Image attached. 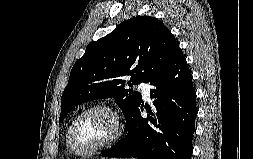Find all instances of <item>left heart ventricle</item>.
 Here are the masks:
<instances>
[{"instance_id":"obj_1","label":"left heart ventricle","mask_w":253,"mask_h":159,"mask_svg":"<svg viewBox=\"0 0 253 159\" xmlns=\"http://www.w3.org/2000/svg\"><path fill=\"white\" fill-rule=\"evenodd\" d=\"M115 131L113 118L105 111H91L77 123L73 144L79 151L92 149L112 137Z\"/></svg>"}]
</instances>
